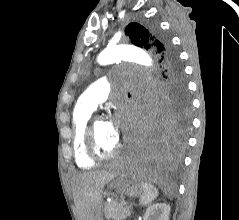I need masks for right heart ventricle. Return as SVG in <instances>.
<instances>
[{"mask_svg": "<svg viewBox=\"0 0 239 220\" xmlns=\"http://www.w3.org/2000/svg\"><path fill=\"white\" fill-rule=\"evenodd\" d=\"M93 111V109L77 103L72 113V146L74 159L77 166L84 169L91 168L95 165V160L87 154L85 147V131Z\"/></svg>", "mask_w": 239, "mask_h": 220, "instance_id": "right-heart-ventricle-1", "label": "right heart ventricle"}]
</instances>
